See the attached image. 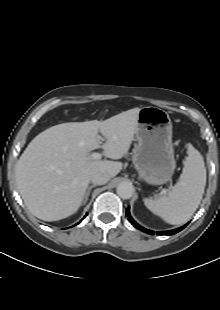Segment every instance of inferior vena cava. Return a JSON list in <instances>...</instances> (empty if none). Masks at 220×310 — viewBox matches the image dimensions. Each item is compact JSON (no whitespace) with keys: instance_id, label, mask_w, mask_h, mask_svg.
<instances>
[{"instance_id":"inferior-vena-cava-1","label":"inferior vena cava","mask_w":220,"mask_h":310,"mask_svg":"<svg viewBox=\"0 0 220 310\" xmlns=\"http://www.w3.org/2000/svg\"><path fill=\"white\" fill-rule=\"evenodd\" d=\"M90 180L94 185H104L110 180V177L104 173H95Z\"/></svg>"}]
</instances>
